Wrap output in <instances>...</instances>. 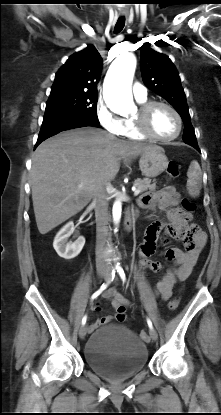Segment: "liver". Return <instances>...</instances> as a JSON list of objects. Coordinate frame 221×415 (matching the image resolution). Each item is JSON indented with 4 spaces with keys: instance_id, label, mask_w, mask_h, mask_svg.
Returning <instances> with one entry per match:
<instances>
[{
    "instance_id": "6515ba94",
    "label": "liver",
    "mask_w": 221,
    "mask_h": 415,
    "mask_svg": "<svg viewBox=\"0 0 221 415\" xmlns=\"http://www.w3.org/2000/svg\"><path fill=\"white\" fill-rule=\"evenodd\" d=\"M153 147L93 127L66 131L41 143L30 171L39 232L47 234L80 212L98 186L116 177L121 159L129 163Z\"/></svg>"
}]
</instances>
